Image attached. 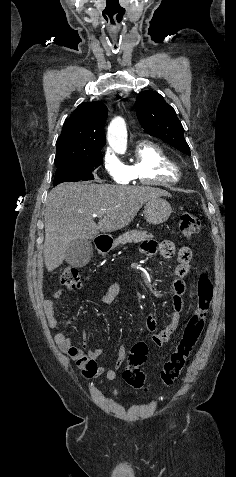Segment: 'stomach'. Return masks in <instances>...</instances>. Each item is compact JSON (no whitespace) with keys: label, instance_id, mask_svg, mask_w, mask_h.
Returning <instances> with one entry per match:
<instances>
[{"label":"stomach","instance_id":"obj_1","mask_svg":"<svg viewBox=\"0 0 236 477\" xmlns=\"http://www.w3.org/2000/svg\"><path fill=\"white\" fill-rule=\"evenodd\" d=\"M171 213V205L165 199L160 197L148 201L144 207V217L149 224H161L169 218ZM106 251L107 250H102L101 252L105 253Z\"/></svg>","mask_w":236,"mask_h":477}]
</instances>
